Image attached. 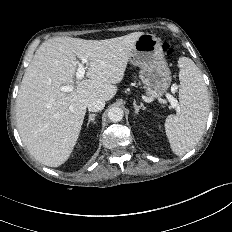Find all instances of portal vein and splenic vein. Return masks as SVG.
Returning a JSON list of instances; mask_svg holds the SVG:
<instances>
[{"label": "portal vein and splenic vein", "instance_id": "1", "mask_svg": "<svg viewBox=\"0 0 232 232\" xmlns=\"http://www.w3.org/2000/svg\"><path fill=\"white\" fill-rule=\"evenodd\" d=\"M87 63V59H82L80 63H78V68L76 72L77 79H83L86 71V67L84 66ZM73 87L71 85L61 86L60 90L63 92H70L72 91ZM168 101L171 103L173 108H178V101L171 95H167Z\"/></svg>", "mask_w": 232, "mask_h": 232}]
</instances>
